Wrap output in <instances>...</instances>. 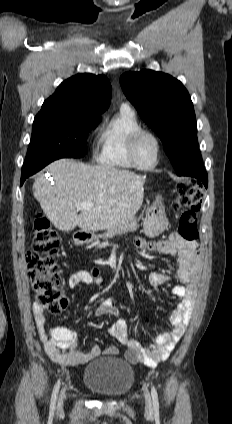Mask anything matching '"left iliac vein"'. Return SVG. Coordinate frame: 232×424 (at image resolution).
<instances>
[{"label":"left iliac vein","mask_w":232,"mask_h":424,"mask_svg":"<svg viewBox=\"0 0 232 424\" xmlns=\"http://www.w3.org/2000/svg\"><path fill=\"white\" fill-rule=\"evenodd\" d=\"M144 398H145V411L146 413L151 414L153 412L151 397L149 392L146 390L144 393Z\"/></svg>","instance_id":"4c4485c4"}]
</instances>
